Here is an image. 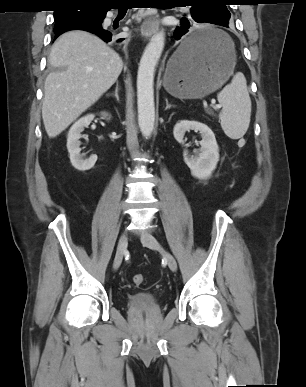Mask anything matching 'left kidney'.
<instances>
[{
    "label": "left kidney",
    "mask_w": 306,
    "mask_h": 387,
    "mask_svg": "<svg viewBox=\"0 0 306 387\" xmlns=\"http://www.w3.org/2000/svg\"><path fill=\"white\" fill-rule=\"evenodd\" d=\"M194 130L201 134L200 149L195 150V155L183 153L184 161L190 168L191 174L198 179H208L215 170L219 161V147L212 130L205 124L197 121L182 120L173 129V135L178 143L184 142L187 131Z\"/></svg>",
    "instance_id": "1"
}]
</instances>
